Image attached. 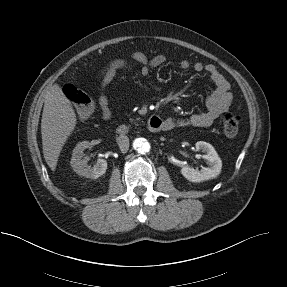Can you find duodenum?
<instances>
[{
    "label": "duodenum",
    "mask_w": 287,
    "mask_h": 287,
    "mask_svg": "<svg viewBox=\"0 0 287 287\" xmlns=\"http://www.w3.org/2000/svg\"><path fill=\"white\" fill-rule=\"evenodd\" d=\"M148 128L151 132H159L163 129V123L158 116H152L148 120ZM131 131V127L127 124H120L116 128L118 135H126Z\"/></svg>",
    "instance_id": "1"
}]
</instances>
